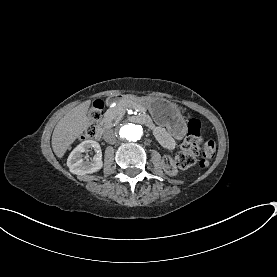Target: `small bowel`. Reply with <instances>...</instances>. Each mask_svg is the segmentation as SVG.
<instances>
[{
  "label": "small bowel",
  "mask_w": 277,
  "mask_h": 277,
  "mask_svg": "<svg viewBox=\"0 0 277 277\" xmlns=\"http://www.w3.org/2000/svg\"><path fill=\"white\" fill-rule=\"evenodd\" d=\"M186 129L184 126H180L177 130H176V136L177 137H182L185 135ZM154 133L156 138L159 140V142L161 143V145L167 149V150H173L175 148L176 142L175 139L173 138V136L166 131L164 128L161 127H157L154 129Z\"/></svg>",
  "instance_id": "obj_1"
}]
</instances>
